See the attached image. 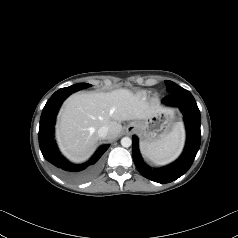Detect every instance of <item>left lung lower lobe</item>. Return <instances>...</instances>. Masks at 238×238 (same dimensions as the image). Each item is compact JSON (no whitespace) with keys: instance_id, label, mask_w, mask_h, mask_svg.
<instances>
[{"instance_id":"obj_1","label":"left lung lower lobe","mask_w":238,"mask_h":238,"mask_svg":"<svg viewBox=\"0 0 238 238\" xmlns=\"http://www.w3.org/2000/svg\"><path fill=\"white\" fill-rule=\"evenodd\" d=\"M162 102L169 106L179 107L184 114L187 141L183 154L171 165L161 169H152L143 162L139 153L138 139L136 136H133L132 155L134 163L141 175L154 182L169 183L185 174L195 159L201 143V118L194 97L188 90L182 87L169 93Z\"/></svg>"}]
</instances>
